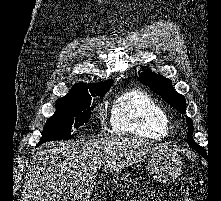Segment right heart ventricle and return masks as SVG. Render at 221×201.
<instances>
[{"mask_svg":"<svg viewBox=\"0 0 221 201\" xmlns=\"http://www.w3.org/2000/svg\"><path fill=\"white\" fill-rule=\"evenodd\" d=\"M110 124L112 131L146 139L162 140L170 132L166 110L148 93L130 89L114 100Z\"/></svg>","mask_w":221,"mask_h":201,"instance_id":"right-heart-ventricle-1","label":"right heart ventricle"}]
</instances>
